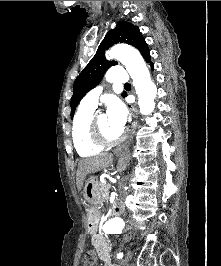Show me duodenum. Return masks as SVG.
<instances>
[{"instance_id":"410a0bca","label":"duodenum","mask_w":221,"mask_h":266,"mask_svg":"<svg viewBox=\"0 0 221 266\" xmlns=\"http://www.w3.org/2000/svg\"><path fill=\"white\" fill-rule=\"evenodd\" d=\"M110 213L112 216H119L122 213V205L118 202L113 203ZM90 226H92V224Z\"/></svg>"}]
</instances>
